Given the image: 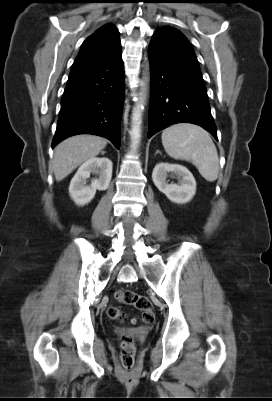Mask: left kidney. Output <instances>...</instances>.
<instances>
[{
    "label": "left kidney",
    "mask_w": 272,
    "mask_h": 401,
    "mask_svg": "<svg viewBox=\"0 0 272 401\" xmlns=\"http://www.w3.org/2000/svg\"><path fill=\"white\" fill-rule=\"evenodd\" d=\"M168 173L178 176V184H168ZM152 180L160 192L177 204H185L192 200L196 193V181L192 173L184 166L178 164L159 163L152 173Z\"/></svg>",
    "instance_id": "5707ae66"
}]
</instances>
